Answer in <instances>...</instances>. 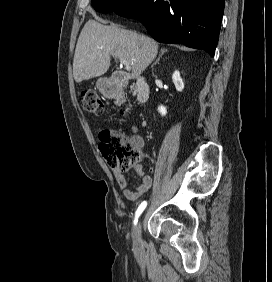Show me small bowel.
<instances>
[{
    "instance_id": "c3829d8e",
    "label": "small bowel",
    "mask_w": 272,
    "mask_h": 282,
    "mask_svg": "<svg viewBox=\"0 0 272 282\" xmlns=\"http://www.w3.org/2000/svg\"><path fill=\"white\" fill-rule=\"evenodd\" d=\"M130 140L138 148H142L144 146V138L139 133H134ZM133 168L141 180L140 184L133 189L129 187V184L122 172L116 169H112V172L124 196L131 201H136L150 189L152 185V178L144 172L141 164H135Z\"/></svg>"
}]
</instances>
